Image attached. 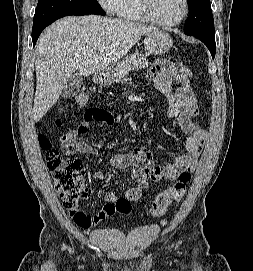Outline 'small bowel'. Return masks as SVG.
<instances>
[{
    "instance_id": "1",
    "label": "small bowel",
    "mask_w": 253,
    "mask_h": 271,
    "mask_svg": "<svg viewBox=\"0 0 253 271\" xmlns=\"http://www.w3.org/2000/svg\"><path fill=\"white\" fill-rule=\"evenodd\" d=\"M189 75L190 72H186L166 60L156 62L149 70V77L153 80L155 88L167 102V117L176 119L178 125L187 135V139L184 153L164 165L153 164V154L146 146L137 147L130 153H117L112 156L111 165L114 168L132 170V179L136 182V186L125 193V198L129 201L138 200L148 187L149 181L179 179L185 172L190 174L197 165L202 146L207 139V133L193 120V117L199 113V108L195 95L189 86ZM174 82L180 85L177 90L172 88ZM92 122L95 120L87 118L85 115L80 124L62 136V150L67 155L99 154L96 147L76 138L77 135L85 133ZM101 122L108 127H113L115 118L110 114L109 120ZM94 177L101 179L103 173L101 171L95 172ZM118 199L119 197L114 191L105 194L106 204L94 215L96 222L107 219L114 214V210L109 205Z\"/></svg>"
}]
</instances>
